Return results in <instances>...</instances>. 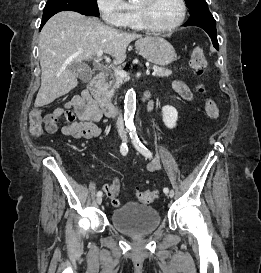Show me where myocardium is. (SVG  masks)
Returning a JSON list of instances; mask_svg holds the SVG:
<instances>
[{"instance_id":"f54148a6","label":"myocardium","mask_w":261,"mask_h":273,"mask_svg":"<svg viewBox=\"0 0 261 273\" xmlns=\"http://www.w3.org/2000/svg\"><path fill=\"white\" fill-rule=\"evenodd\" d=\"M153 2L154 0H141L139 4H136V8H137L140 20L145 29L155 33H167V32L174 31L175 29L180 27L185 21L186 14H187L186 3H185V0H178L181 7V14L178 21L169 27L156 26L153 23L151 14H150V8Z\"/></svg>"}]
</instances>
